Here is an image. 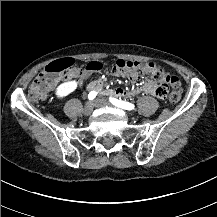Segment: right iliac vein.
Instances as JSON below:
<instances>
[{
  "label": "right iliac vein",
  "mask_w": 217,
  "mask_h": 217,
  "mask_svg": "<svg viewBox=\"0 0 217 217\" xmlns=\"http://www.w3.org/2000/svg\"><path fill=\"white\" fill-rule=\"evenodd\" d=\"M93 108H94V104L93 102H87L86 105L84 106V114L85 115H90L93 111Z\"/></svg>",
  "instance_id": "obj_1"
}]
</instances>
